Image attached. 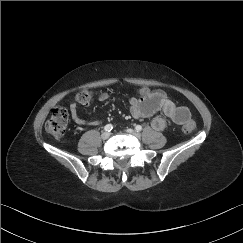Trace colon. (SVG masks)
<instances>
[{"mask_svg": "<svg viewBox=\"0 0 243 243\" xmlns=\"http://www.w3.org/2000/svg\"><path fill=\"white\" fill-rule=\"evenodd\" d=\"M92 91L88 88H84L78 92L76 99L80 104L87 105L92 101ZM68 128V113L63 107H56L52 110L50 118L45 124V130L48 134L53 137L60 139L62 138ZM196 129V123L194 120H188L183 130L185 133H192Z\"/></svg>", "mask_w": 243, "mask_h": 243, "instance_id": "obj_1", "label": "colon"}]
</instances>
